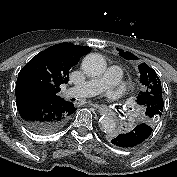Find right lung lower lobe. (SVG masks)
<instances>
[{"instance_id": "98d812e1", "label": "right lung lower lobe", "mask_w": 177, "mask_h": 177, "mask_svg": "<svg viewBox=\"0 0 177 177\" xmlns=\"http://www.w3.org/2000/svg\"><path fill=\"white\" fill-rule=\"evenodd\" d=\"M16 103L25 125L36 134L56 132L76 111L73 103L64 99H51L38 95H16Z\"/></svg>"}]
</instances>
